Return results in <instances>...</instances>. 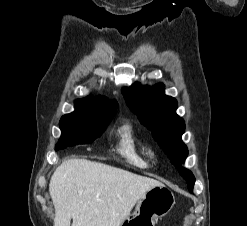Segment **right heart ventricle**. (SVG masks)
Segmentation results:
<instances>
[{"label":"right heart ventricle","mask_w":247,"mask_h":226,"mask_svg":"<svg viewBox=\"0 0 247 226\" xmlns=\"http://www.w3.org/2000/svg\"><path fill=\"white\" fill-rule=\"evenodd\" d=\"M118 152L131 164L137 167H147L148 152L137 142L130 124H124L118 131Z\"/></svg>","instance_id":"e07e8e85"}]
</instances>
